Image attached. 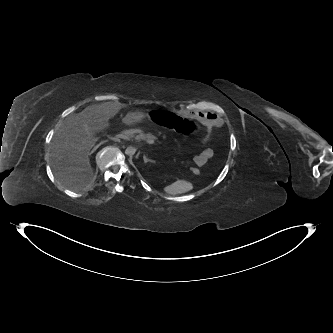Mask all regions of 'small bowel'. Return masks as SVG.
I'll return each instance as SVG.
<instances>
[{
  "label": "small bowel",
  "instance_id": "small-bowel-1",
  "mask_svg": "<svg viewBox=\"0 0 333 333\" xmlns=\"http://www.w3.org/2000/svg\"><path fill=\"white\" fill-rule=\"evenodd\" d=\"M185 114L200 118L206 124L207 132L203 137V141L205 142L210 139L213 128L219 125V117L212 111H196L193 113L186 112ZM212 156V149L207 148L194 157V163L197 167H202L212 158Z\"/></svg>",
  "mask_w": 333,
  "mask_h": 333
}]
</instances>
